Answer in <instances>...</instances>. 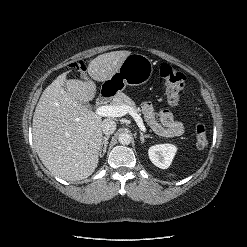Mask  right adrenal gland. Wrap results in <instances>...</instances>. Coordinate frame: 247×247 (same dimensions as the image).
I'll return each mask as SVG.
<instances>
[{
    "label": "right adrenal gland",
    "mask_w": 247,
    "mask_h": 247,
    "mask_svg": "<svg viewBox=\"0 0 247 247\" xmlns=\"http://www.w3.org/2000/svg\"><path fill=\"white\" fill-rule=\"evenodd\" d=\"M110 136H104L103 137V141L101 143V149H100V156H104L106 153V149H107V144H108V140H109Z\"/></svg>",
    "instance_id": "right-adrenal-gland-1"
}]
</instances>
